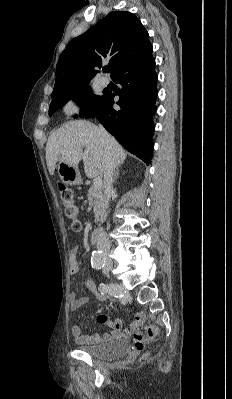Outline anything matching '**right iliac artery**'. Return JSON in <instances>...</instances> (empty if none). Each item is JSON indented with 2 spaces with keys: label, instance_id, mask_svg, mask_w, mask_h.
<instances>
[{
  "label": "right iliac artery",
  "instance_id": "obj_1",
  "mask_svg": "<svg viewBox=\"0 0 232 399\" xmlns=\"http://www.w3.org/2000/svg\"><path fill=\"white\" fill-rule=\"evenodd\" d=\"M91 265L92 268L99 270L105 265V257L104 255H92L91 256ZM106 285L104 283L99 284L98 291L101 295L106 294Z\"/></svg>",
  "mask_w": 232,
  "mask_h": 399
}]
</instances>
